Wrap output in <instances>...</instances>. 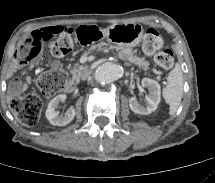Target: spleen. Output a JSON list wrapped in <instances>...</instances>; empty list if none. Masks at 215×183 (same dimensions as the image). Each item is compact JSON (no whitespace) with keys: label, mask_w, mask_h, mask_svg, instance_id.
Returning a JSON list of instances; mask_svg holds the SVG:
<instances>
[{"label":"spleen","mask_w":215,"mask_h":183,"mask_svg":"<svg viewBox=\"0 0 215 183\" xmlns=\"http://www.w3.org/2000/svg\"><path fill=\"white\" fill-rule=\"evenodd\" d=\"M183 74L179 65L169 73L167 78V86L162 91V96L166 103L169 104L170 115H173L180 106L183 94Z\"/></svg>","instance_id":"3e777b00"}]
</instances>
